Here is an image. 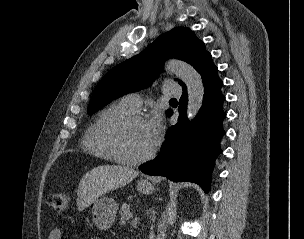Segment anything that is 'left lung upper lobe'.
<instances>
[{"mask_svg": "<svg viewBox=\"0 0 304 239\" xmlns=\"http://www.w3.org/2000/svg\"><path fill=\"white\" fill-rule=\"evenodd\" d=\"M209 55L193 31L186 27L174 28L138 55L112 68L95 87L87 113L92 115L112 100L150 85L168 58L183 60L199 72ZM178 82L185 87L181 80Z\"/></svg>", "mask_w": 304, "mask_h": 239, "instance_id": "5c2ea615", "label": "left lung upper lobe"}]
</instances>
